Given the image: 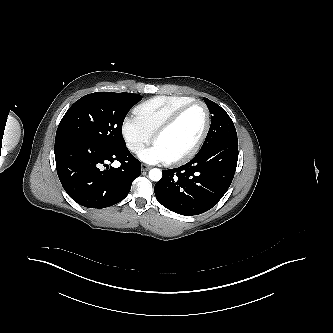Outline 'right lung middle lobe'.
Returning <instances> with one entry per match:
<instances>
[{"instance_id":"obj_1","label":"right lung middle lobe","mask_w":333,"mask_h":333,"mask_svg":"<svg viewBox=\"0 0 333 333\" xmlns=\"http://www.w3.org/2000/svg\"><path fill=\"white\" fill-rule=\"evenodd\" d=\"M133 93L96 92L76 101L63 116L56 139L69 138L105 148L126 146L122 124L140 100Z\"/></svg>"}]
</instances>
